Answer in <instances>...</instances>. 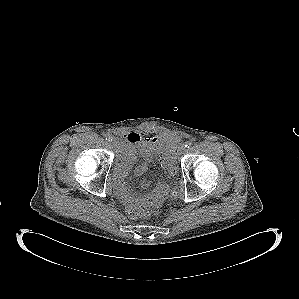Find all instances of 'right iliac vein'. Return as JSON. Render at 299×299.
Masks as SVG:
<instances>
[{"instance_id": "63e3f726", "label": "right iliac vein", "mask_w": 299, "mask_h": 299, "mask_svg": "<svg viewBox=\"0 0 299 299\" xmlns=\"http://www.w3.org/2000/svg\"><path fill=\"white\" fill-rule=\"evenodd\" d=\"M110 142L115 147L117 145V143H118V139L116 137H112V139H111Z\"/></svg>"}]
</instances>
